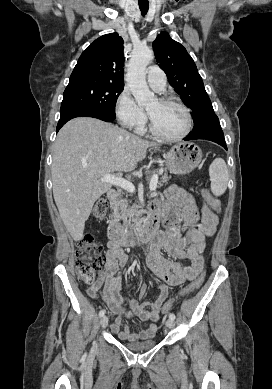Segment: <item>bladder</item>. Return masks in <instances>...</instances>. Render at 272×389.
Masks as SVG:
<instances>
[{"mask_svg":"<svg viewBox=\"0 0 272 389\" xmlns=\"http://www.w3.org/2000/svg\"><path fill=\"white\" fill-rule=\"evenodd\" d=\"M156 345L155 340H147L140 342L126 341L124 346L132 351L141 352L153 348Z\"/></svg>","mask_w":272,"mask_h":389,"instance_id":"31cf9c89","label":"bladder"}]
</instances>
